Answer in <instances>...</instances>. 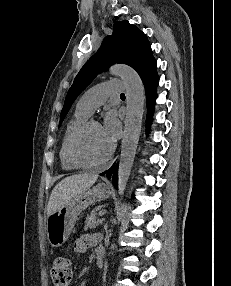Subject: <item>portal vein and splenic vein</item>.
Listing matches in <instances>:
<instances>
[{
    "label": "portal vein and splenic vein",
    "mask_w": 231,
    "mask_h": 286,
    "mask_svg": "<svg viewBox=\"0 0 231 286\" xmlns=\"http://www.w3.org/2000/svg\"><path fill=\"white\" fill-rule=\"evenodd\" d=\"M105 213H106V210L103 209V210L99 211V216H103V215H105Z\"/></svg>",
    "instance_id": "portal-vein-and-splenic-vein-1"
}]
</instances>
